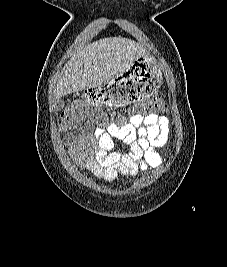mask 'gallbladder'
Wrapping results in <instances>:
<instances>
[{"label": "gallbladder", "instance_id": "obj_1", "mask_svg": "<svg viewBox=\"0 0 227 267\" xmlns=\"http://www.w3.org/2000/svg\"><path fill=\"white\" fill-rule=\"evenodd\" d=\"M63 105H64L63 100H59V102H58V104H57V107H58V108H62Z\"/></svg>", "mask_w": 227, "mask_h": 267}]
</instances>
